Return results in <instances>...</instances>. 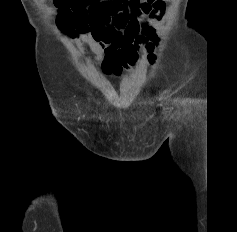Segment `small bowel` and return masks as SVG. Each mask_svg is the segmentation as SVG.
Returning <instances> with one entry per match:
<instances>
[{"instance_id": "small-bowel-1", "label": "small bowel", "mask_w": 237, "mask_h": 232, "mask_svg": "<svg viewBox=\"0 0 237 232\" xmlns=\"http://www.w3.org/2000/svg\"><path fill=\"white\" fill-rule=\"evenodd\" d=\"M165 0H146L142 6L127 16L107 20L99 33L72 35L102 60L105 74L120 75L132 67L141 51L149 64L156 60L159 50V31L166 20Z\"/></svg>"}]
</instances>
